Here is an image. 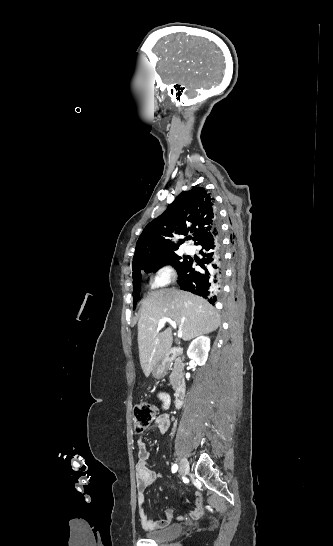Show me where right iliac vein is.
Wrapping results in <instances>:
<instances>
[{
    "instance_id": "right-iliac-vein-1",
    "label": "right iliac vein",
    "mask_w": 333,
    "mask_h": 546,
    "mask_svg": "<svg viewBox=\"0 0 333 546\" xmlns=\"http://www.w3.org/2000/svg\"><path fill=\"white\" fill-rule=\"evenodd\" d=\"M189 471V463L186 458H182L179 464V474L185 475Z\"/></svg>"
}]
</instances>
